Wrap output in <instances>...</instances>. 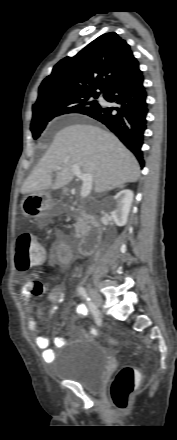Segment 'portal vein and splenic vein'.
<instances>
[{"mask_svg": "<svg viewBox=\"0 0 177 440\" xmlns=\"http://www.w3.org/2000/svg\"><path fill=\"white\" fill-rule=\"evenodd\" d=\"M60 169V167H58ZM72 171L74 175L80 180H82V188L80 195L82 198L87 197L92 190L93 178L91 174H83L80 170V167L77 164L72 165Z\"/></svg>", "mask_w": 177, "mask_h": 440, "instance_id": "18ae733b", "label": "portal vein and splenic vein"}]
</instances>
